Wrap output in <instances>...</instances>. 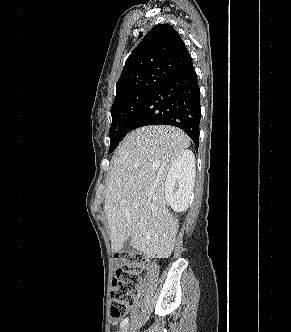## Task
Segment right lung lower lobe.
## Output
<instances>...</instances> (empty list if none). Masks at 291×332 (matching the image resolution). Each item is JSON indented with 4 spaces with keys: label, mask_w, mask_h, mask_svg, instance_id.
Masks as SVG:
<instances>
[{
    "label": "right lung lower lobe",
    "mask_w": 291,
    "mask_h": 332,
    "mask_svg": "<svg viewBox=\"0 0 291 332\" xmlns=\"http://www.w3.org/2000/svg\"><path fill=\"white\" fill-rule=\"evenodd\" d=\"M200 90L193 64L164 78L132 118L128 131L147 125L183 129L199 144Z\"/></svg>",
    "instance_id": "obj_1"
}]
</instances>
